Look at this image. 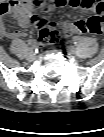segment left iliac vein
<instances>
[{"label": "left iliac vein", "instance_id": "obj_1", "mask_svg": "<svg viewBox=\"0 0 104 137\" xmlns=\"http://www.w3.org/2000/svg\"><path fill=\"white\" fill-rule=\"evenodd\" d=\"M66 50L70 54H75V52H76V49L74 46H67Z\"/></svg>", "mask_w": 104, "mask_h": 137}]
</instances>
